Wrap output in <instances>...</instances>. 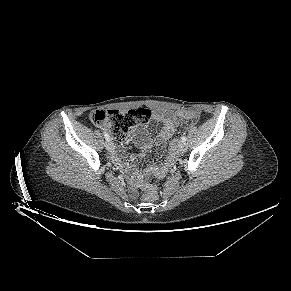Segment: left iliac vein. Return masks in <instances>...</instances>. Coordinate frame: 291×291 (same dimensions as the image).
<instances>
[{
    "instance_id": "1",
    "label": "left iliac vein",
    "mask_w": 291,
    "mask_h": 291,
    "mask_svg": "<svg viewBox=\"0 0 291 291\" xmlns=\"http://www.w3.org/2000/svg\"><path fill=\"white\" fill-rule=\"evenodd\" d=\"M178 149L181 152H185L187 150V144L185 142L181 141L178 145Z\"/></svg>"
}]
</instances>
